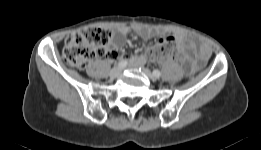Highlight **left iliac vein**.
I'll return each mask as SVG.
<instances>
[{
	"label": "left iliac vein",
	"mask_w": 261,
	"mask_h": 150,
	"mask_svg": "<svg viewBox=\"0 0 261 150\" xmlns=\"http://www.w3.org/2000/svg\"><path fill=\"white\" fill-rule=\"evenodd\" d=\"M141 69H142V72H143L150 80H152V81L156 80V77L153 75V73H152L150 70H148V69H146V68H144V67H142Z\"/></svg>",
	"instance_id": "obj_1"
}]
</instances>
